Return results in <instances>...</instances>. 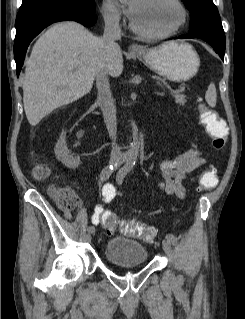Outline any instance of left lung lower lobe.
Returning <instances> with one entry per match:
<instances>
[{"label": "left lung lower lobe", "mask_w": 245, "mask_h": 319, "mask_svg": "<svg viewBox=\"0 0 245 319\" xmlns=\"http://www.w3.org/2000/svg\"><path fill=\"white\" fill-rule=\"evenodd\" d=\"M187 39V38H199V39H202L204 41H206L207 43H209L213 48L214 50L219 54V56L221 57L222 60H224V52H225V46H222L220 45L219 43L211 40V39H208V38H205V37H198V36H193V35H182V36H179V37H175L174 39Z\"/></svg>", "instance_id": "1"}]
</instances>
